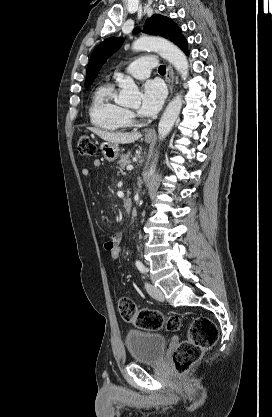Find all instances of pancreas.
I'll use <instances>...</instances> for the list:
<instances>
[{"label": "pancreas", "mask_w": 272, "mask_h": 417, "mask_svg": "<svg viewBox=\"0 0 272 417\" xmlns=\"http://www.w3.org/2000/svg\"><path fill=\"white\" fill-rule=\"evenodd\" d=\"M131 161H132L131 153H127V154L121 155L120 160L118 161V164L121 167H125L127 164H130Z\"/></svg>", "instance_id": "cf45deb5"}]
</instances>
